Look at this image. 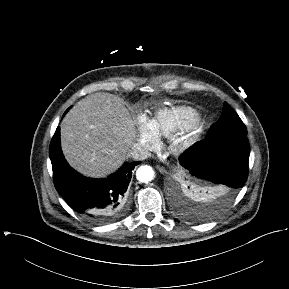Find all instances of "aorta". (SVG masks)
Segmentation results:
<instances>
[{"label":"aorta","mask_w":289,"mask_h":289,"mask_svg":"<svg viewBox=\"0 0 289 289\" xmlns=\"http://www.w3.org/2000/svg\"><path fill=\"white\" fill-rule=\"evenodd\" d=\"M136 177L140 182L147 183L154 178V170L147 165L140 166L136 171Z\"/></svg>","instance_id":"1"}]
</instances>
